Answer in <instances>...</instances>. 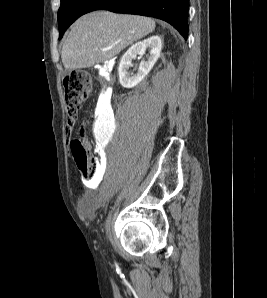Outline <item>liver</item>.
I'll use <instances>...</instances> for the list:
<instances>
[{"mask_svg":"<svg viewBox=\"0 0 267 298\" xmlns=\"http://www.w3.org/2000/svg\"><path fill=\"white\" fill-rule=\"evenodd\" d=\"M148 17L95 11L80 17L62 47L66 69H82L110 60L155 29Z\"/></svg>","mask_w":267,"mask_h":298,"instance_id":"obj_1","label":"liver"}]
</instances>
